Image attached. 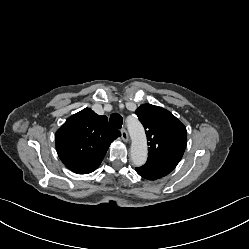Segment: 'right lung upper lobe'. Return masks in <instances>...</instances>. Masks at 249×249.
Segmentation results:
<instances>
[{
  "mask_svg": "<svg viewBox=\"0 0 249 249\" xmlns=\"http://www.w3.org/2000/svg\"><path fill=\"white\" fill-rule=\"evenodd\" d=\"M120 136V131L108 123L106 116L85 108L57 130L56 150L68 169L88 174L100 165L109 145Z\"/></svg>",
  "mask_w": 249,
  "mask_h": 249,
  "instance_id": "1",
  "label": "right lung upper lobe"
}]
</instances>
